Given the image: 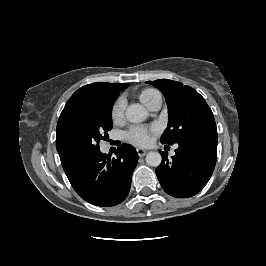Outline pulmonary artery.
<instances>
[{
    "label": "pulmonary artery",
    "instance_id": "pulmonary-artery-1",
    "mask_svg": "<svg viewBox=\"0 0 266 266\" xmlns=\"http://www.w3.org/2000/svg\"><path fill=\"white\" fill-rule=\"evenodd\" d=\"M161 104H162V98L160 97V98L156 99V100L151 104V106L149 107V109L152 110V111H157V110L160 109Z\"/></svg>",
    "mask_w": 266,
    "mask_h": 266
}]
</instances>
